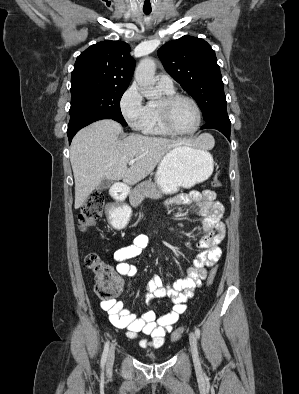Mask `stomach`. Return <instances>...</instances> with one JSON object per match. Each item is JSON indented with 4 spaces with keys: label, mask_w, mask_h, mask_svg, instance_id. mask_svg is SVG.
<instances>
[{
    "label": "stomach",
    "mask_w": 299,
    "mask_h": 394,
    "mask_svg": "<svg viewBox=\"0 0 299 394\" xmlns=\"http://www.w3.org/2000/svg\"><path fill=\"white\" fill-rule=\"evenodd\" d=\"M213 158L205 150L189 145L171 149L161 160L155 173L157 186L165 193L180 187L190 188L207 180L213 172Z\"/></svg>",
    "instance_id": "stomach-1"
}]
</instances>
